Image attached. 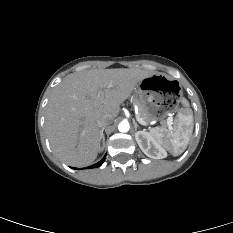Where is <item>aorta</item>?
<instances>
[{"instance_id":"aorta-1","label":"aorta","mask_w":233,"mask_h":233,"mask_svg":"<svg viewBox=\"0 0 233 233\" xmlns=\"http://www.w3.org/2000/svg\"><path fill=\"white\" fill-rule=\"evenodd\" d=\"M130 129V125L127 121H122L118 125V130L122 133L128 132Z\"/></svg>"}]
</instances>
